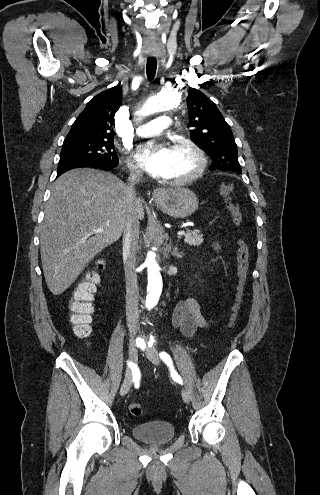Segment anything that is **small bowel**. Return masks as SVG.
<instances>
[{"instance_id":"1","label":"small bowel","mask_w":320,"mask_h":495,"mask_svg":"<svg viewBox=\"0 0 320 495\" xmlns=\"http://www.w3.org/2000/svg\"><path fill=\"white\" fill-rule=\"evenodd\" d=\"M213 245L217 250L220 248L218 241ZM172 322L184 336L190 339L195 337L198 329H205L210 325L209 320L202 314L197 300L188 295L176 305Z\"/></svg>"}]
</instances>
